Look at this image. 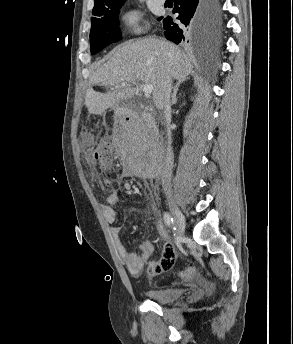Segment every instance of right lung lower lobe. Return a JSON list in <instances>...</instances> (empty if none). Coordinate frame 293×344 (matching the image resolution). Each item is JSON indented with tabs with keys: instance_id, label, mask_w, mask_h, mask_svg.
Here are the masks:
<instances>
[{
	"instance_id": "1",
	"label": "right lung lower lobe",
	"mask_w": 293,
	"mask_h": 344,
	"mask_svg": "<svg viewBox=\"0 0 293 344\" xmlns=\"http://www.w3.org/2000/svg\"><path fill=\"white\" fill-rule=\"evenodd\" d=\"M176 12L183 25L173 23L170 16L163 19L164 35L168 40L176 44L194 39L202 43L216 40L220 21L219 0H175L173 13Z\"/></svg>"
}]
</instances>
